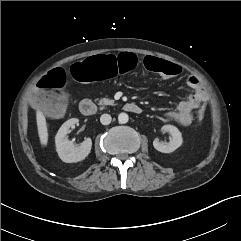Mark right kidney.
<instances>
[{
	"mask_svg": "<svg viewBox=\"0 0 241 241\" xmlns=\"http://www.w3.org/2000/svg\"><path fill=\"white\" fill-rule=\"evenodd\" d=\"M77 118L66 121L55 136L56 151L60 159L65 163H76L84 160L91 151L92 140L85 139L78 147L67 137L69 129L78 123Z\"/></svg>",
	"mask_w": 241,
	"mask_h": 241,
	"instance_id": "ca27d5eb",
	"label": "right kidney"
}]
</instances>
